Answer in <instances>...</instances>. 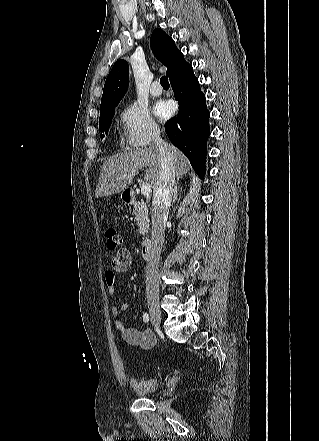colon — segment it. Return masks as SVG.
<instances>
[{
	"mask_svg": "<svg viewBox=\"0 0 319 441\" xmlns=\"http://www.w3.org/2000/svg\"><path fill=\"white\" fill-rule=\"evenodd\" d=\"M106 245L109 250H115L123 245V239L114 227H107L105 230Z\"/></svg>",
	"mask_w": 319,
	"mask_h": 441,
	"instance_id": "obj_1",
	"label": "colon"
}]
</instances>
